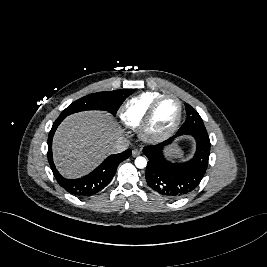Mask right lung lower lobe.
I'll use <instances>...</instances> for the list:
<instances>
[{
    "mask_svg": "<svg viewBox=\"0 0 267 267\" xmlns=\"http://www.w3.org/2000/svg\"><path fill=\"white\" fill-rule=\"evenodd\" d=\"M60 123V120L54 122L48 137V160L57 182L67 192L75 196H91L96 194L112 180L118 165L131 155V150L127 149L122 153L110 155L94 171L82 178L66 179L57 171L52 158V139Z\"/></svg>",
    "mask_w": 267,
    "mask_h": 267,
    "instance_id": "1",
    "label": "right lung lower lobe"
}]
</instances>
